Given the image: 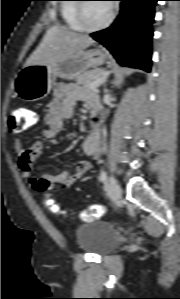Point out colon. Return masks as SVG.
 I'll return each instance as SVG.
<instances>
[{
  "mask_svg": "<svg viewBox=\"0 0 180 299\" xmlns=\"http://www.w3.org/2000/svg\"><path fill=\"white\" fill-rule=\"evenodd\" d=\"M38 121V115L36 112L26 108H15L11 111L8 118V130L13 133H20L33 126ZM35 190L45 196H48L52 190V185L44 182H36ZM45 205L48 209L56 215L61 214L60 208L55 205L51 199H45ZM105 208L101 204H92L88 206L81 214V217L85 221H90L94 218L103 216Z\"/></svg>",
  "mask_w": 180,
  "mask_h": 299,
  "instance_id": "5ec220e1",
  "label": "colon"
}]
</instances>
